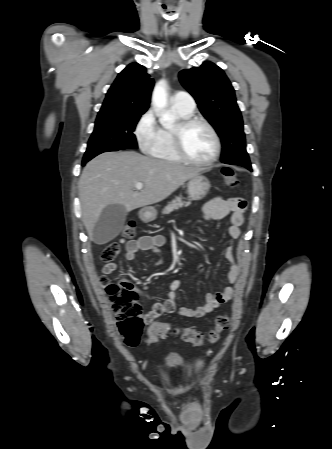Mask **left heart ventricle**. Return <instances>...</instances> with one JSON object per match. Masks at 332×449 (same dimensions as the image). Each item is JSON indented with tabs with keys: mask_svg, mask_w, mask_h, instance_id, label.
Here are the masks:
<instances>
[{
	"mask_svg": "<svg viewBox=\"0 0 332 449\" xmlns=\"http://www.w3.org/2000/svg\"><path fill=\"white\" fill-rule=\"evenodd\" d=\"M183 144L189 156L201 161L209 159L215 149L210 131L202 124H194L185 130Z\"/></svg>",
	"mask_w": 332,
	"mask_h": 449,
	"instance_id": "1",
	"label": "left heart ventricle"
}]
</instances>
